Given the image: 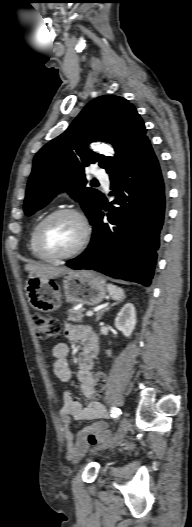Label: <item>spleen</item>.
Masks as SVG:
<instances>
[{"label": "spleen", "mask_w": 192, "mask_h": 527, "mask_svg": "<svg viewBox=\"0 0 192 527\" xmlns=\"http://www.w3.org/2000/svg\"><path fill=\"white\" fill-rule=\"evenodd\" d=\"M107 290L111 298L115 301H120L124 298V290L116 285L108 284Z\"/></svg>", "instance_id": "obj_1"}]
</instances>
